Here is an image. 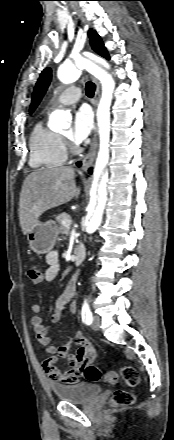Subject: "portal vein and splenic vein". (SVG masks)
<instances>
[{
	"label": "portal vein and splenic vein",
	"mask_w": 174,
	"mask_h": 440,
	"mask_svg": "<svg viewBox=\"0 0 174 440\" xmlns=\"http://www.w3.org/2000/svg\"><path fill=\"white\" fill-rule=\"evenodd\" d=\"M71 223H72V220L70 218L69 219H64L62 221V225L65 226V227H69L71 225Z\"/></svg>",
	"instance_id": "portal-vein-and-splenic-vein-1"
}]
</instances>
